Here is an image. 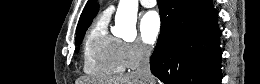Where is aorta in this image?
<instances>
[{
	"label": "aorta",
	"mask_w": 260,
	"mask_h": 84,
	"mask_svg": "<svg viewBox=\"0 0 260 84\" xmlns=\"http://www.w3.org/2000/svg\"><path fill=\"white\" fill-rule=\"evenodd\" d=\"M138 0H120L115 15V35L126 41L136 38Z\"/></svg>",
	"instance_id": "obj_1"
}]
</instances>
